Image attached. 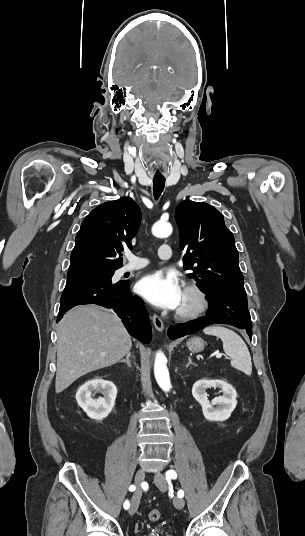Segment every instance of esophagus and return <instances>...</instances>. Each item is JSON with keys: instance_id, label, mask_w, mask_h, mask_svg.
<instances>
[{"instance_id": "34e87169", "label": "esophagus", "mask_w": 305, "mask_h": 536, "mask_svg": "<svg viewBox=\"0 0 305 536\" xmlns=\"http://www.w3.org/2000/svg\"><path fill=\"white\" fill-rule=\"evenodd\" d=\"M152 319H153V323H154L155 328L158 331L162 332L164 330V324H163V321L161 320V318L158 315L154 314Z\"/></svg>"}]
</instances>
